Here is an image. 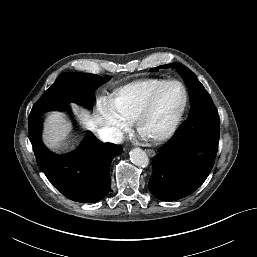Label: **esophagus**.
<instances>
[{
	"label": "esophagus",
	"instance_id": "1",
	"mask_svg": "<svg viewBox=\"0 0 257 257\" xmlns=\"http://www.w3.org/2000/svg\"><path fill=\"white\" fill-rule=\"evenodd\" d=\"M145 152H146L150 157L155 156V151L152 150V149H145Z\"/></svg>",
	"mask_w": 257,
	"mask_h": 257
}]
</instances>
